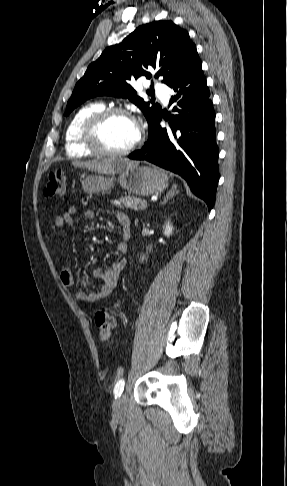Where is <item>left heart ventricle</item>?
Here are the masks:
<instances>
[{
    "instance_id": "1",
    "label": "left heart ventricle",
    "mask_w": 287,
    "mask_h": 486,
    "mask_svg": "<svg viewBox=\"0 0 287 486\" xmlns=\"http://www.w3.org/2000/svg\"><path fill=\"white\" fill-rule=\"evenodd\" d=\"M99 143L108 150H121L136 137V127L132 121L122 116L108 119L98 131Z\"/></svg>"
}]
</instances>
